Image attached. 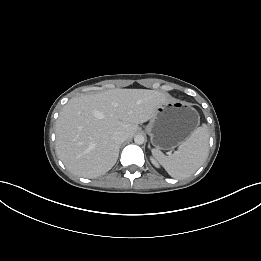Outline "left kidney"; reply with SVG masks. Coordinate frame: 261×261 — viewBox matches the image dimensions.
I'll return each mask as SVG.
<instances>
[{
	"instance_id": "5707ae66",
	"label": "left kidney",
	"mask_w": 261,
	"mask_h": 261,
	"mask_svg": "<svg viewBox=\"0 0 261 261\" xmlns=\"http://www.w3.org/2000/svg\"><path fill=\"white\" fill-rule=\"evenodd\" d=\"M150 160H151V162H152V164L155 166V167H159V164L157 163V161L154 159V158H150Z\"/></svg>"
}]
</instances>
